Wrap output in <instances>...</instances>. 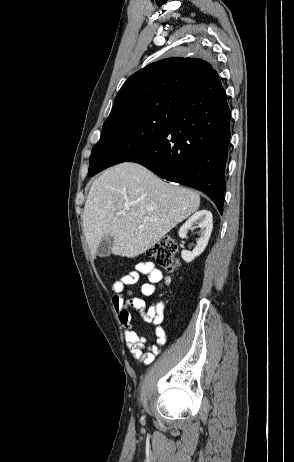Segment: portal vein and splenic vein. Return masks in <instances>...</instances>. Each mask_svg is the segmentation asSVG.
Returning a JSON list of instances; mask_svg holds the SVG:
<instances>
[{"label":"portal vein and splenic vein","instance_id":"obj_1","mask_svg":"<svg viewBox=\"0 0 294 462\" xmlns=\"http://www.w3.org/2000/svg\"><path fill=\"white\" fill-rule=\"evenodd\" d=\"M126 210H129V208H128V207H126Z\"/></svg>","mask_w":294,"mask_h":462}]
</instances>
